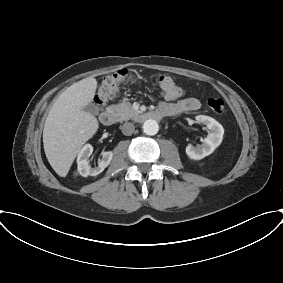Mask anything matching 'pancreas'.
I'll return each mask as SVG.
<instances>
[{"label": "pancreas", "mask_w": 283, "mask_h": 283, "mask_svg": "<svg viewBox=\"0 0 283 283\" xmlns=\"http://www.w3.org/2000/svg\"><path fill=\"white\" fill-rule=\"evenodd\" d=\"M110 108L115 112L118 120H129L138 114L134 110L130 102H122L120 104L111 105Z\"/></svg>", "instance_id": "cf45deb5"}]
</instances>
